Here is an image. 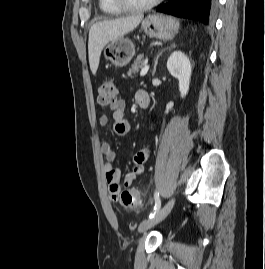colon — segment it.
<instances>
[{"label":"colon","instance_id":"5ec220e1","mask_svg":"<svg viewBox=\"0 0 265 269\" xmlns=\"http://www.w3.org/2000/svg\"><path fill=\"white\" fill-rule=\"evenodd\" d=\"M117 88L113 78L103 80L98 88L97 100L102 108H111L117 102ZM115 198L124 207H137L142 203V194L138 190L120 192L112 188Z\"/></svg>","mask_w":265,"mask_h":269}]
</instances>
